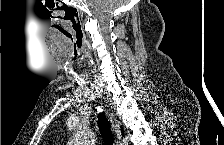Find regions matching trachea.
Wrapping results in <instances>:
<instances>
[{"label":"trachea","mask_w":224,"mask_h":145,"mask_svg":"<svg viewBox=\"0 0 224 145\" xmlns=\"http://www.w3.org/2000/svg\"><path fill=\"white\" fill-rule=\"evenodd\" d=\"M97 122L99 130L103 136L105 145H113L114 135L111 130L110 123L104 113H99Z\"/></svg>","instance_id":"1"}]
</instances>
